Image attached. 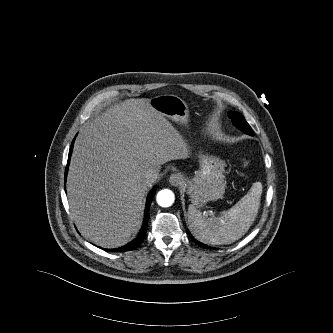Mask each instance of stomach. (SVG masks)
Instances as JSON below:
<instances>
[{"label": "stomach", "instance_id": "stomach-1", "mask_svg": "<svg viewBox=\"0 0 333 333\" xmlns=\"http://www.w3.org/2000/svg\"><path fill=\"white\" fill-rule=\"evenodd\" d=\"M150 105L165 117L180 123L188 121V106L180 97L164 94L150 99ZM225 162L210 155H200V169L187 181V191L195 207L200 208L209 201H216L225 193Z\"/></svg>", "mask_w": 333, "mask_h": 333}]
</instances>
